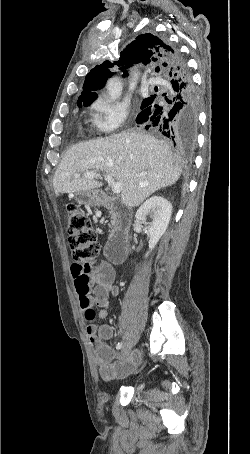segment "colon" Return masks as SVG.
Masks as SVG:
<instances>
[{"instance_id": "obj_1", "label": "colon", "mask_w": 250, "mask_h": 454, "mask_svg": "<svg viewBox=\"0 0 250 454\" xmlns=\"http://www.w3.org/2000/svg\"><path fill=\"white\" fill-rule=\"evenodd\" d=\"M66 213L68 242L73 259L79 264H90L96 260L100 251L90 220L85 212L75 204H69ZM84 316L88 322L93 321L96 316L95 310L91 307L86 308Z\"/></svg>"}]
</instances>
